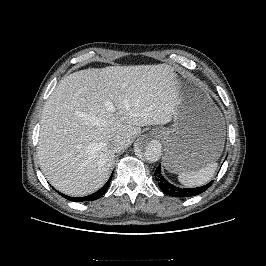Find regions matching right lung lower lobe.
<instances>
[{"instance_id":"98d812e1","label":"right lung lower lobe","mask_w":266,"mask_h":266,"mask_svg":"<svg viewBox=\"0 0 266 266\" xmlns=\"http://www.w3.org/2000/svg\"><path fill=\"white\" fill-rule=\"evenodd\" d=\"M111 178H112V175L109 178V180L106 182V184L100 190H98L97 192H95L91 195H88L86 197H81V198L69 197V196L61 194L59 192L58 193L61 194L64 198L71 200V201H75V202L96 200V199L100 198L106 192V190L108 189L109 184L111 182Z\"/></svg>"}]
</instances>
